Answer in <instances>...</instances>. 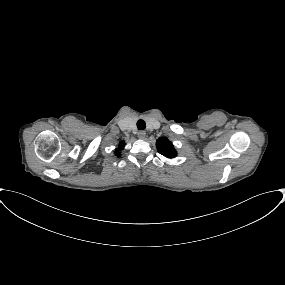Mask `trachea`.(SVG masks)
Listing matches in <instances>:
<instances>
[{
    "instance_id": "3493384b",
    "label": "trachea",
    "mask_w": 285,
    "mask_h": 285,
    "mask_svg": "<svg viewBox=\"0 0 285 285\" xmlns=\"http://www.w3.org/2000/svg\"><path fill=\"white\" fill-rule=\"evenodd\" d=\"M137 128L139 130H144L146 128V123L144 120L140 119L137 121Z\"/></svg>"
}]
</instances>
